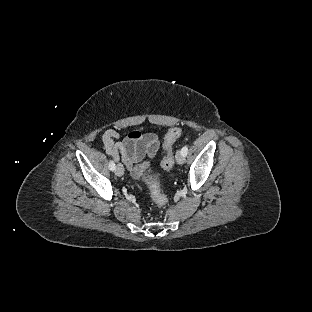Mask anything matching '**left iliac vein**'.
<instances>
[{"label": "left iliac vein", "instance_id": "4c4485c4", "mask_svg": "<svg viewBox=\"0 0 312 312\" xmlns=\"http://www.w3.org/2000/svg\"><path fill=\"white\" fill-rule=\"evenodd\" d=\"M176 161L178 164H183L185 162V156H183L181 151L176 153Z\"/></svg>", "mask_w": 312, "mask_h": 312}]
</instances>
